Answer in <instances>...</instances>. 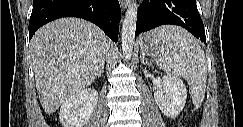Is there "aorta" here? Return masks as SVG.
Masks as SVG:
<instances>
[{
	"label": "aorta",
	"mask_w": 243,
	"mask_h": 127,
	"mask_svg": "<svg viewBox=\"0 0 243 127\" xmlns=\"http://www.w3.org/2000/svg\"><path fill=\"white\" fill-rule=\"evenodd\" d=\"M137 21V6L132 2L126 11L122 26L121 42L124 57L128 60L132 56Z\"/></svg>",
	"instance_id": "aorta-1"
}]
</instances>
